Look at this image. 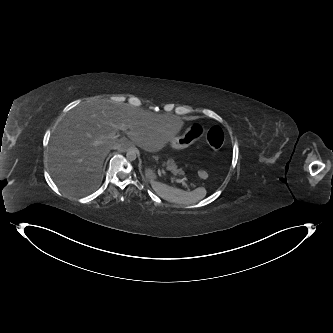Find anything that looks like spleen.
<instances>
[{"instance_id": "obj_1", "label": "spleen", "mask_w": 333, "mask_h": 333, "mask_svg": "<svg viewBox=\"0 0 333 333\" xmlns=\"http://www.w3.org/2000/svg\"><path fill=\"white\" fill-rule=\"evenodd\" d=\"M151 186L162 198L176 202L195 203L206 196V190L203 187H199L191 192H186L161 182L158 184L151 183Z\"/></svg>"}]
</instances>
